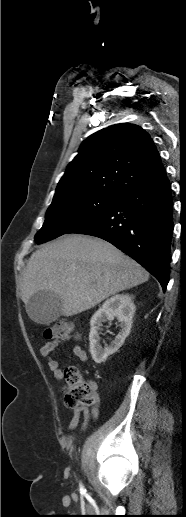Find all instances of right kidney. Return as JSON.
Segmentation results:
<instances>
[{"label":"right kidney","instance_id":"ca27d5eb","mask_svg":"<svg viewBox=\"0 0 186 517\" xmlns=\"http://www.w3.org/2000/svg\"><path fill=\"white\" fill-rule=\"evenodd\" d=\"M134 313L135 305L132 301V296L129 294H119L107 299L94 313L90 320L89 351L96 363L106 361L108 356L117 352L123 345L126 337L130 334ZM115 317L120 322L121 330L111 344L103 348L99 343V331L101 330L102 323L112 321Z\"/></svg>","mask_w":186,"mask_h":517}]
</instances>
